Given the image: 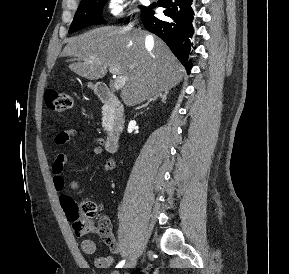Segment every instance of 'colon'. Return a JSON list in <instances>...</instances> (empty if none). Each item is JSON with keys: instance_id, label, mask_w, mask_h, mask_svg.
<instances>
[{"instance_id": "obj_1", "label": "colon", "mask_w": 289, "mask_h": 274, "mask_svg": "<svg viewBox=\"0 0 289 274\" xmlns=\"http://www.w3.org/2000/svg\"><path fill=\"white\" fill-rule=\"evenodd\" d=\"M45 102L49 109L57 112L66 111L72 106L71 97L67 93L55 89H49L45 92ZM62 202L68 217L72 221L76 222L75 230L77 232H83L85 229V224L78 221L80 217L92 219L97 213L96 204L91 201L77 204L72 198L64 196ZM95 229L100 235L109 238L111 232V223L109 218L106 216L101 217Z\"/></svg>"}]
</instances>
